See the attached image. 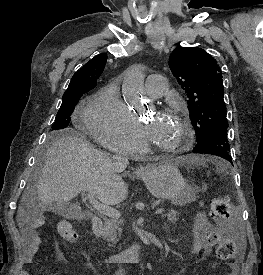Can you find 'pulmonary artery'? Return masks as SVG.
<instances>
[{
    "mask_svg": "<svg viewBox=\"0 0 263 275\" xmlns=\"http://www.w3.org/2000/svg\"><path fill=\"white\" fill-rule=\"evenodd\" d=\"M146 93L151 98H160L167 92L166 79L159 74H152L148 76L145 84Z\"/></svg>",
    "mask_w": 263,
    "mask_h": 275,
    "instance_id": "e3ab8cb5",
    "label": "pulmonary artery"
}]
</instances>
